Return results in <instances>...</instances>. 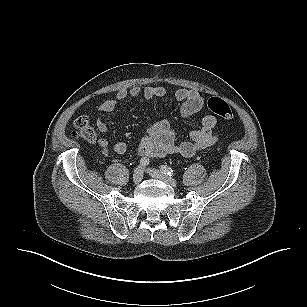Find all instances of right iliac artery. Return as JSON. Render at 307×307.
Returning <instances> with one entry per match:
<instances>
[{
  "mask_svg": "<svg viewBox=\"0 0 307 307\" xmlns=\"http://www.w3.org/2000/svg\"><path fill=\"white\" fill-rule=\"evenodd\" d=\"M148 164H149V159L141 158V160H140V165H141L142 167H146Z\"/></svg>",
  "mask_w": 307,
  "mask_h": 307,
  "instance_id": "obj_1",
  "label": "right iliac artery"
}]
</instances>
